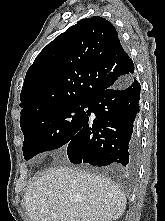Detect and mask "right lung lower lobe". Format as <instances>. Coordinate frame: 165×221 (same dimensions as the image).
<instances>
[{
	"mask_svg": "<svg viewBox=\"0 0 165 221\" xmlns=\"http://www.w3.org/2000/svg\"><path fill=\"white\" fill-rule=\"evenodd\" d=\"M139 101L140 84L134 76L93 96L89 116L93 112L96 119L88 118L68 142L69 160L99 167L119 164L135 170L140 156Z\"/></svg>",
	"mask_w": 165,
	"mask_h": 221,
	"instance_id": "1",
	"label": "right lung lower lobe"
}]
</instances>
